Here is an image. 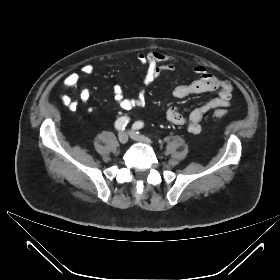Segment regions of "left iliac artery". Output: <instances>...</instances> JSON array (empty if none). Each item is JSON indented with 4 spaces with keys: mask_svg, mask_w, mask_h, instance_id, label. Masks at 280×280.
Listing matches in <instances>:
<instances>
[{
    "mask_svg": "<svg viewBox=\"0 0 280 280\" xmlns=\"http://www.w3.org/2000/svg\"><path fill=\"white\" fill-rule=\"evenodd\" d=\"M143 126H144V123L142 121H136L133 124V129L139 130V129L143 128ZM137 133H139V132H137Z\"/></svg>",
    "mask_w": 280,
    "mask_h": 280,
    "instance_id": "left-iliac-artery-1",
    "label": "left iliac artery"
}]
</instances>
